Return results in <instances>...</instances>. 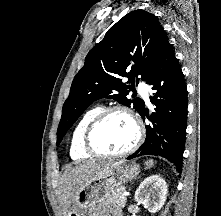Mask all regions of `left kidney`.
<instances>
[{"label":"left kidney","mask_w":221,"mask_h":216,"mask_svg":"<svg viewBox=\"0 0 221 216\" xmlns=\"http://www.w3.org/2000/svg\"><path fill=\"white\" fill-rule=\"evenodd\" d=\"M167 184L159 175H152L144 179L135 192V201L143 204L150 213L159 211L167 197Z\"/></svg>","instance_id":"obj_1"}]
</instances>
